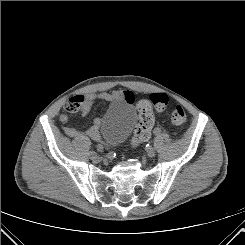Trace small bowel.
Segmentation results:
<instances>
[{"label": "small bowel", "instance_id": "obj_1", "mask_svg": "<svg viewBox=\"0 0 245 245\" xmlns=\"http://www.w3.org/2000/svg\"><path fill=\"white\" fill-rule=\"evenodd\" d=\"M95 100H103V101H118L124 100L129 104H133L135 102V96L131 91H122V90H114L112 92H101L95 94H89L84 99L83 112L88 114L90 111V105ZM65 132L70 137H79L83 134L89 136L93 140H100V120L96 119L92 126H90L85 132H81L74 127H66Z\"/></svg>", "mask_w": 245, "mask_h": 245}]
</instances>
